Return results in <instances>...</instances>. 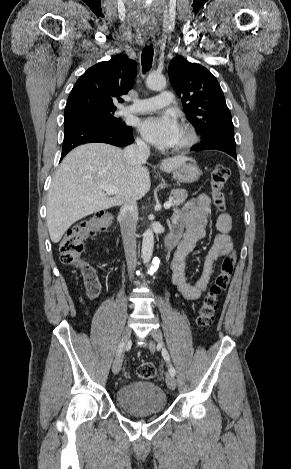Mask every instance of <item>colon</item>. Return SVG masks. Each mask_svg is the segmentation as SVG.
<instances>
[{"label":"colon","mask_w":291,"mask_h":469,"mask_svg":"<svg viewBox=\"0 0 291 469\" xmlns=\"http://www.w3.org/2000/svg\"><path fill=\"white\" fill-rule=\"evenodd\" d=\"M230 169L224 164L214 166L210 179V192L216 209L224 213L225 199L223 189L229 180ZM111 221V215L108 212H98L89 220L82 221L71 227L62 238L59 251L62 263L78 267L84 278H92L93 270L85 264L81 255L84 248V241L104 230ZM237 256L234 251L227 253L220 266V270L211 284L207 294L204 296L199 308L197 324L200 327H209L215 319V314L219 307V298L227 289L232 273L236 265ZM88 297L94 299L98 292L96 288L87 289ZM155 366L150 362H144L137 368V375L141 379H151L155 375Z\"/></svg>","instance_id":"1"}]
</instances>
